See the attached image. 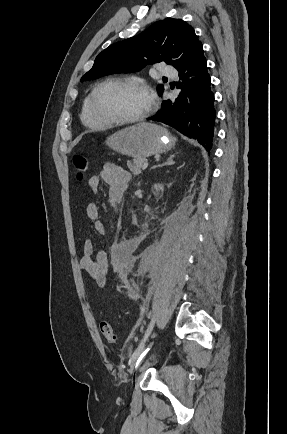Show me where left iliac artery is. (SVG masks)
Instances as JSON below:
<instances>
[{
  "instance_id": "obj_1",
  "label": "left iliac artery",
  "mask_w": 287,
  "mask_h": 434,
  "mask_svg": "<svg viewBox=\"0 0 287 434\" xmlns=\"http://www.w3.org/2000/svg\"><path fill=\"white\" fill-rule=\"evenodd\" d=\"M154 324H155V318H152L140 344L138 345V347L136 348V350L134 351V353L131 357V362H132L133 366H135V365L137 366L139 361H141L142 357L144 356L145 352H143V350H144L145 342L147 341L148 337L150 336V334L153 330Z\"/></svg>"
}]
</instances>
